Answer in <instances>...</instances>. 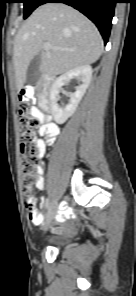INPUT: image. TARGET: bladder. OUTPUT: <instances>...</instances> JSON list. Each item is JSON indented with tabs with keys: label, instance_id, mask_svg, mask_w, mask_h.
Segmentation results:
<instances>
[{
	"label": "bladder",
	"instance_id": "1",
	"mask_svg": "<svg viewBox=\"0 0 136 296\" xmlns=\"http://www.w3.org/2000/svg\"><path fill=\"white\" fill-rule=\"evenodd\" d=\"M72 239V235H64L55 238V243L58 245H65Z\"/></svg>",
	"mask_w": 136,
	"mask_h": 296
}]
</instances>
